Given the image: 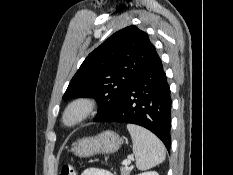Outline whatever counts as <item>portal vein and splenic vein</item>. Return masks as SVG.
<instances>
[{"mask_svg": "<svg viewBox=\"0 0 233 175\" xmlns=\"http://www.w3.org/2000/svg\"><path fill=\"white\" fill-rule=\"evenodd\" d=\"M131 160H132V158H131V157H128L127 159H125V160L122 162V164L125 165V166H127V165H129V164L131 163Z\"/></svg>", "mask_w": 233, "mask_h": 175, "instance_id": "portal-vein-and-splenic-vein-1", "label": "portal vein and splenic vein"}]
</instances>
